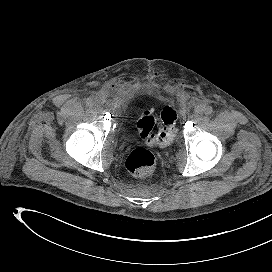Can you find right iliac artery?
Listing matches in <instances>:
<instances>
[{
	"mask_svg": "<svg viewBox=\"0 0 272 272\" xmlns=\"http://www.w3.org/2000/svg\"><path fill=\"white\" fill-rule=\"evenodd\" d=\"M86 104H87V106L92 107L94 105L93 98H91V97L87 98Z\"/></svg>",
	"mask_w": 272,
	"mask_h": 272,
	"instance_id": "right-iliac-artery-1",
	"label": "right iliac artery"
}]
</instances>
